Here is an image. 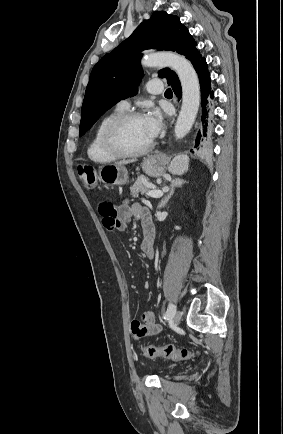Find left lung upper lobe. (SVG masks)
<instances>
[{
  "label": "left lung upper lobe",
  "instance_id": "1",
  "mask_svg": "<svg viewBox=\"0 0 283 434\" xmlns=\"http://www.w3.org/2000/svg\"><path fill=\"white\" fill-rule=\"evenodd\" d=\"M148 49L175 51L184 55L193 66L204 58L179 17L164 11L153 13L94 66L81 109L79 136L117 102L137 93L142 77L141 52ZM159 77L166 78L169 85L178 80L177 74L168 68L162 69Z\"/></svg>",
  "mask_w": 283,
  "mask_h": 434
}]
</instances>
